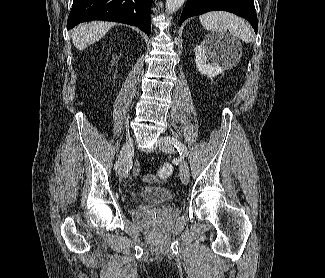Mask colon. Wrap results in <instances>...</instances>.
<instances>
[{
  "label": "colon",
  "mask_w": 325,
  "mask_h": 278,
  "mask_svg": "<svg viewBox=\"0 0 325 278\" xmlns=\"http://www.w3.org/2000/svg\"><path fill=\"white\" fill-rule=\"evenodd\" d=\"M173 173V166L170 163H165L157 170V177L160 180L168 179ZM147 181H152L153 178L148 176L146 177Z\"/></svg>",
  "instance_id": "1"
}]
</instances>
